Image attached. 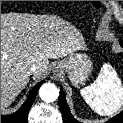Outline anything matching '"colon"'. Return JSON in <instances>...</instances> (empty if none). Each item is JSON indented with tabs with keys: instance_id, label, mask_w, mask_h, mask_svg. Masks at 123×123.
I'll return each instance as SVG.
<instances>
[{
	"instance_id": "1",
	"label": "colon",
	"mask_w": 123,
	"mask_h": 123,
	"mask_svg": "<svg viewBox=\"0 0 123 123\" xmlns=\"http://www.w3.org/2000/svg\"><path fill=\"white\" fill-rule=\"evenodd\" d=\"M91 5L95 10L101 9V3L99 1H92Z\"/></svg>"
}]
</instances>
